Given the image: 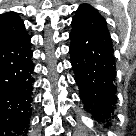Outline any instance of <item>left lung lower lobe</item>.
Masks as SVG:
<instances>
[{"label":"left lung lower lobe","mask_w":136,"mask_h":136,"mask_svg":"<svg viewBox=\"0 0 136 136\" xmlns=\"http://www.w3.org/2000/svg\"><path fill=\"white\" fill-rule=\"evenodd\" d=\"M71 64L87 111L98 122H107L116 102L112 42L106 22L94 8L77 11L70 33Z\"/></svg>","instance_id":"left-lung-lower-lobe-1"}]
</instances>
